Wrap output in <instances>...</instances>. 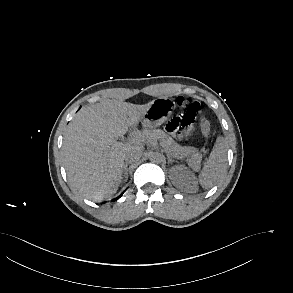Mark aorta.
Returning a JSON list of instances; mask_svg holds the SVG:
<instances>
[{
    "instance_id": "obj_1",
    "label": "aorta",
    "mask_w": 293,
    "mask_h": 293,
    "mask_svg": "<svg viewBox=\"0 0 293 293\" xmlns=\"http://www.w3.org/2000/svg\"><path fill=\"white\" fill-rule=\"evenodd\" d=\"M149 160L153 163H160L163 160V155L159 152H151L149 154Z\"/></svg>"
}]
</instances>
